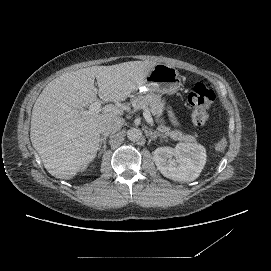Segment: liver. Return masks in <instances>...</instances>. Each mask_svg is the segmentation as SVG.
I'll use <instances>...</instances> for the list:
<instances>
[{"label":"liver","instance_id":"obj_1","mask_svg":"<svg viewBox=\"0 0 271 271\" xmlns=\"http://www.w3.org/2000/svg\"><path fill=\"white\" fill-rule=\"evenodd\" d=\"M155 65L130 61L92 66L63 74L45 86L33 107L30 137L53 177L74 179L79 168L91 165L97 157L100 126L111 121L123 124L124 110L119 105L106 104L95 113L87 110L97 100L96 93L103 101L125 102Z\"/></svg>","mask_w":271,"mask_h":271}]
</instances>
